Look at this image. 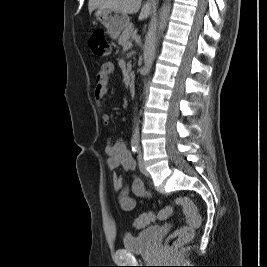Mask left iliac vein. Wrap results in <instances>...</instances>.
Listing matches in <instances>:
<instances>
[{"label": "left iliac vein", "mask_w": 267, "mask_h": 267, "mask_svg": "<svg viewBox=\"0 0 267 267\" xmlns=\"http://www.w3.org/2000/svg\"><path fill=\"white\" fill-rule=\"evenodd\" d=\"M138 163H139V169L141 171L142 174H144L145 176H149V172L147 171L145 165H144V161H143V158H142V153L141 151L139 150V154H138Z\"/></svg>", "instance_id": "left-iliac-vein-1"}]
</instances>
